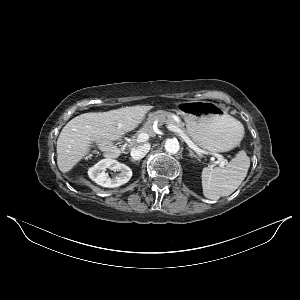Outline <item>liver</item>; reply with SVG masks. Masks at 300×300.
<instances>
[{"label":"liver","instance_id":"obj_1","mask_svg":"<svg viewBox=\"0 0 300 300\" xmlns=\"http://www.w3.org/2000/svg\"><path fill=\"white\" fill-rule=\"evenodd\" d=\"M151 106L124 107L107 112H90L70 120L57 140V165L62 173L86 158L93 143L118 140L134 130Z\"/></svg>","mask_w":300,"mask_h":300}]
</instances>
